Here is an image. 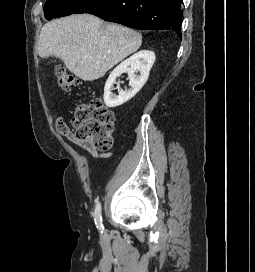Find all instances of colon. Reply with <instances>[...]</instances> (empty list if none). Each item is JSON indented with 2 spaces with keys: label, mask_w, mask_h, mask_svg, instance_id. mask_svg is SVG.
Instances as JSON below:
<instances>
[{
  "label": "colon",
  "mask_w": 255,
  "mask_h": 272,
  "mask_svg": "<svg viewBox=\"0 0 255 272\" xmlns=\"http://www.w3.org/2000/svg\"><path fill=\"white\" fill-rule=\"evenodd\" d=\"M59 87L71 91L78 85L77 78L65 68L56 69ZM115 116L99 99L80 105L74 110L72 125L76 138L98 151L112 146Z\"/></svg>",
  "instance_id": "colon-1"
}]
</instances>
